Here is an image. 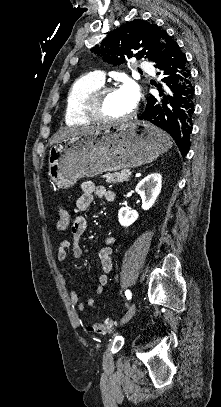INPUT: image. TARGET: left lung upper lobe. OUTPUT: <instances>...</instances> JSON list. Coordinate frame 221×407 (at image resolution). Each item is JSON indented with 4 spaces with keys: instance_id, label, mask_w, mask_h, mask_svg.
<instances>
[{
    "instance_id": "1",
    "label": "left lung upper lobe",
    "mask_w": 221,
    "mask_h": 407,
    "mask_svg": "<svg viewBox=\"0 0 221 407\" xmlns=\"http://www.w3.org/2000/svg\"><path fill=\"white\" fill-rule=\"evenodd\" d=\"M171 40V36L157 25L136 19L114 30L91 52L113 65L124 63L126 58L133 56L138 60L145 58L156 65Z\"/></svg>"
}]
</instances>
